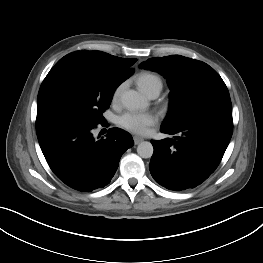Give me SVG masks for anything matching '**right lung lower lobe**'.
I'll use <instances>...</instances> for the list:
<instances>
[{
	"instance_id": "obj_1",
	"label": "right lung lower lobe",
	"mask_w": 263,
	"mask_h": 263,
	"mask_svg": "<svg viewBox=\"0 0 263 263\" xmlns=\"http://www.w3.org/2000/svg\"><path fill=\"white\" fill-rule=\"evenodd\" d=\"M94 126L53 123L36 128L43 155L54 174L82 192L103 188L114 176L122 154L134 145L131 135L111 128L105 139L93 137Z\"/></svg>"
}]
</instances>
